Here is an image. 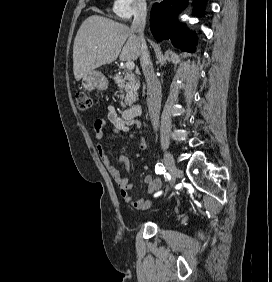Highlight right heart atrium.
<instances>
[{"label":"right heart atrium","instance_id":"right-heart-atrium-1","mask_svg":"<svg viewBox=\"0 0 272 282\" xmlns=\"http://www.w3.org/2000/svg\"><path fill=\"white\" fill-rule=\"evenodd\" d=\"M147 9L145 0H114L111 6L113 15L122 21H129Z\"/></svg>","mask_w":272,"mask_h":282}]
</instances>
